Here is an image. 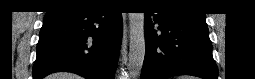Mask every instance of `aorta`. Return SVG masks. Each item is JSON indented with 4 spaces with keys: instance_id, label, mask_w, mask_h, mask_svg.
<instances>
[{
    "instance_id": "obj_1",
    "label": "aorta",
    "mask_w": 255,
    "mask_h": 79,
    "mask_svg": "<svg viewBox=\"0 0 255 79\" xmlns=\"http://www.w3.org/2000/svg\"><path fill=\"white\" fill-rule=\"evenodd\" d=\"M129 62L128 70L132 79L140 76L145 57L144 13H129Z\"/></svg>"
}]
</instances>
